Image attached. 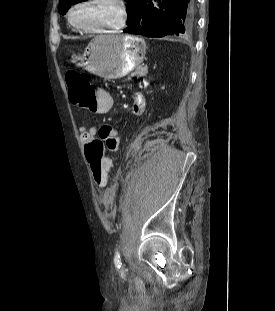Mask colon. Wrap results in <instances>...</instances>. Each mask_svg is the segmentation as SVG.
<instances>
[{
	"instance_id": "1",
	"label": "colon",
	"mask_w": 275,
	"mask_h": 311,
	"mask_svg": "<svg viewBox=\"0 0 275 311\" xmlns=\"http://www.w3.org/2000/svg\"><path fill=\"white\" fill-rule=\"evenodd\" d=\"M66 82L69 87V99L74 105L84 108L95 98L92 84L83 75L77 72H68ZM106 147L108 148L107 144L101 140H94L86 147V157L93 181L99 187L106 184L111 170L112 160L106 155Z\"/></svg>"
}]
</instances>
